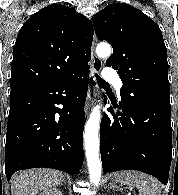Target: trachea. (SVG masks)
<instances>
[{"label": "trachea", "mask_w": 178, "mask_h": 195, "mask_svg": "<svg viewBox=\"0 0 178 195\" xmlns=\"http://www.w3.org/2000/svg\"><path fill=\"white\" fill-rule=\"evenodd\" d=\"M94 76L96 77L99 86L108 87V84L101 77H99L96 73H94Z\"/></svg>", "instance_id": "trachea-1"}]
</instances>
